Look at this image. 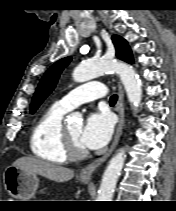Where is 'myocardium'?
<instances>
[{"label": "myocardium", "mask_w": 176, "mask_h": 211, "mask_svg": "<svg viewBox=\"0 0 176 211\" xmlns=\"http://www.w3.org/2000/svg\"><path fill=\"white\" fill-rule=\"evenodd\" d=\"M62 141L65 152L69 159L77 160L84 158L88 152L85 148L78 147L72 140L67 127L62 126Z\"/></svg>", "instance_id": "obj_1"}]
</instances>
